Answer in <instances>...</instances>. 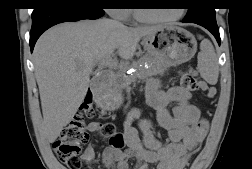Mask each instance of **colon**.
I'll return each mask as SVG.
<instances>
[{
	"label": "colon",
	"instance_id": "1",
	"mask_svg": "<svg viewBox=\"0 0 252 169\" xmlns=\"http://www.w3.org/2000/svg\"><path fill=\"white\" fill-rule=\"evenodd\" d=\"M181 87L187 91L202 89L207 92L208 96L214 95V90L205 84L199 83L192 72L183 74L181 77ZM93 115L92 96L89 94L82 104L80 112L63 128L60 136L53 144L58 159L68 169H82L84 166L85 157L82 152V146L88 140V133L83 117L90 118ZM100 134L102 137L110 139L114 147L121 148L123 146L122 135L116 131L114 124L103 123Z\"/></svg>",
	"mask_w": 252,
	"mask_h": 169
}]
</instances>
